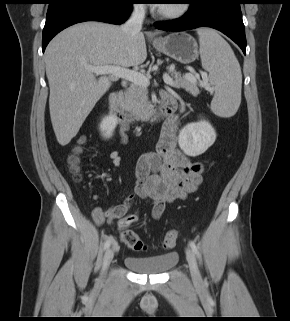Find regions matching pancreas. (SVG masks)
I'll return each mask as SVG.
<instances>
[{"label": "pancreas", "mask_w": 290, "mask_h": 321, "mask_svg": "<svg viewBox=\"0 0 290 321\" xmlns=\"http://www.w3.org/2000/svg\"><path fill=\"white\" fill-rule=\"evenodd\" d=\"M171 75L174 78L171 86L175 88H183L193 96L199 94L197 86V78L195 81L186 78V75L181 76L180 73L171 69ZM121 106L126 111L130 112L133 116L140 119L151 110V103L148 100V90L139 84L131 83L130 86L124 92V96L121 101Z\"/></svg>", "instance_id": "pancreas-1"}]
</instances>
